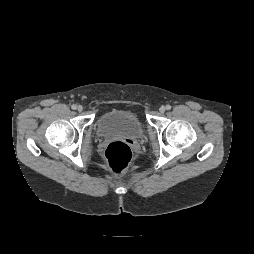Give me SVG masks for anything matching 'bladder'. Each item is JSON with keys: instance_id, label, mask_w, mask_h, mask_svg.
Here are the masks:
<instances>
[{"instance_id": "bladder-1", "label": "bladder", "mask_w": 254, "mask_h": 254, "mask_svg": "<svg viewBox=\"0 0 254 254\" xmlns=\"http://www.w3.org/2000/svg\"><path fill=\"white\" fill-rule=\"evenodd\" d=\"M97 135L101 138L124 136L140 139L144 136V126L136 113L114 108L103 112L96 121Z\"/></svg>"}]
</instances>
